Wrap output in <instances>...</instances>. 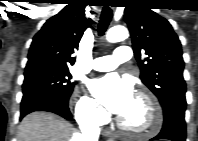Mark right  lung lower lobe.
Masks as SVG:
<instances>
[{
  "instance_id": "1",
  "label": "right lung lower lobe",
  "mask_w": 198,
  "mask_h": 141,
  "mask_svg": "<svg viewBox=\"0 0 198 141\" xmlns=\"http://www.w3.org/2000/svg\"><path fill=\"white\" fill-rule=\"evenodd\" d=\"M34 111H48L65 119L72 118L68 108V100L47 93L32 92L23 95L20 119Z\"/></svg>"
}]
</instances>
